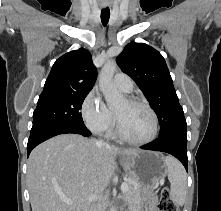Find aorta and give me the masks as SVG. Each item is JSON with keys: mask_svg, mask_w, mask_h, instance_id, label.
I'll list each match as a JSON object with an SVG mask.
<instances>
[{"mask_svg": "<svg viewBox=\"0 0 221 211\" xmlns=\"http://www.w3.org/2000/svg\"><path fill=\"white\" fill-rule=\"evenodd\" d=\"M116 68V62L110 60L104 64L99 75V87L109 108L118 107L124 102L122 93L113 84ZM110 211H116L115 207L111 206Z\"/></svg>", "mask_w": 221, "mask_h": 211, "instance_id": "762f6f07", "label": "aorta"}]
</instances>
